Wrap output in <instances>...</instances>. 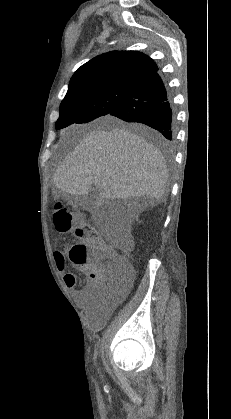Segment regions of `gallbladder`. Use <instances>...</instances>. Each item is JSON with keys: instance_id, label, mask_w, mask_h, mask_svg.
<instances>
[{"instance_id": "gallbladder-1", "label": "gallbladder", "mask_w": 231, "mask_h": 419, "mask_svg": "<svg viewBox=\"0 0 231 419\" xmlns=\"http://www.w3.org/2000/svg\"><path fill=\"white\" fill-rule=\"evenodd\" d=\"M63 198L75 206L94 207L100 200V194L97 188H92L89 193L84 196L73 197L72 195L64 194Z\"/></svg>"}]
</instances>
